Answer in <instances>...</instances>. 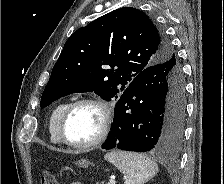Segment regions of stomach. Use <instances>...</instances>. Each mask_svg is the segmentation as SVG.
<instances>
[{"label": "stomach", "mask_w": 224, "mask_h": 184, "mask_svg": "<svg viewBox=\"0 0 224 184\" xmlns=\"http://www.w3.org/2000/svg\"><path fill=\"white\" fill-rule=\"evenodd\" d=\"M89 164L90 162L87 159H81L80 161L77 162V165L83 168L88 167Z\"/></svg>", "instance_id": "obj_1"}]
</instances>
